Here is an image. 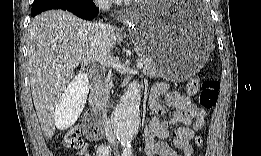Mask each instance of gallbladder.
Returning a JSON list of instances; mask_svg holds the SVG:
<instances>
[{
    "label": "gallbladder",
    "mask_w": 261,
    "mask_h": 156,
    "mask_svg": "<svg viewBox=\"0 0 261 156\" xmlns=\"http://www.w3.org/2000/svg\"><path fill=\"white\" fill-rule=\"evenodd\" d=\"M86 73H80L71 80L69 88L63 92L62 99L53 110L55 127L65 130L72 127V124L78 120L82 110L87 102L89 90L88 76Z\"/></svg>",
    "instance_id": "1"
}]
</instances>
